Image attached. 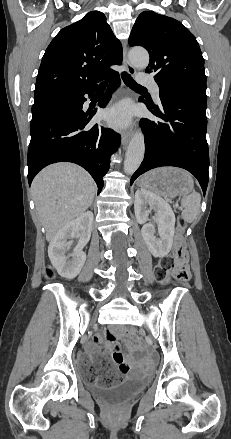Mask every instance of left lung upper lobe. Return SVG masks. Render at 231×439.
Here are the masks:
<instances>
[{"mask_svg":"<svg viewBox=\"0 0 231 439\" xmlns=\"http://www.w3.org/2000/svg\"><path fill=\"white\" fill-rule=\"evenodd\" d=\"M130 46H143L150 55L146 73L160 89L190 87L206 91L204 59L195 36L179 21L144 11L136 19Z\"/></svg>","mask_w":231,"mask_h":439,"instance_id":"1","label":"left lung upper lobe"}]
</instances>
